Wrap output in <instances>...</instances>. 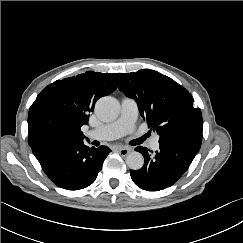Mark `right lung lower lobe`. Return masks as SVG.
<instances>
[{
  "mask_svg": "<svg viewBox=\"0 0 243 243\" xmlns=\"http://www.w3.org/2000/svg\"><path fill=\"white\" fill-rule=\"evenodd\" d=\"M29 144L50 180L67 190L91 185L110 152L105 146L89 148L83 141H70L54 135L40 136Z\"/></svg>",
  "mask_w": 243,
  "mask_h": 243,
  "instance_id": "98d812e1",
  "label": "right lung lower lobe"
}]
</instances>
